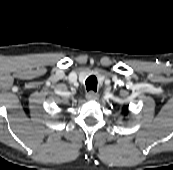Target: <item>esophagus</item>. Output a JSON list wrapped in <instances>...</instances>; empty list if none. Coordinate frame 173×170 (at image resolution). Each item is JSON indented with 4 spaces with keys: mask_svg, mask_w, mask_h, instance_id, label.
Listing matches in <instances>:
<instances>
[{
    "mask_svg": "<svg viewBox=\"0 0 173 170\" xmlns=\"http://www.w3.org/2000/svg\"><path fill=\"white\" fill-rule=\"evenodd\" d=\"M99 98V94L95 91H89L87 94H86V99L88 101H94V100H98Z\"/></svg>",
    "mask_w": 173,
    "mask_h": 170,
    "instance_id": "esophagus-1",
    "label": "esophagus"
}]
</instances>
